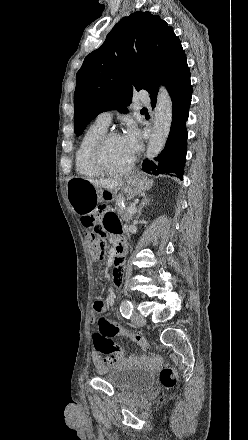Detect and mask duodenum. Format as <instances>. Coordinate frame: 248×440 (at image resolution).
<instances>
[{
	"label": "duodenum",
	"mask_w": 248,
	"mask_h": 440,
	"mask_svg": "<svg viewBox=\"0 0 248 440\" xmlns=\"http://www.w3.org/2000/svg\"><path fill=\"white\" fill-rule=\"evenodd\" d=\"M126 252V246L123 241H118L116 248H115V257H123Z\"/></svg>",
	"instance_id": "1"
}]
</instances>
